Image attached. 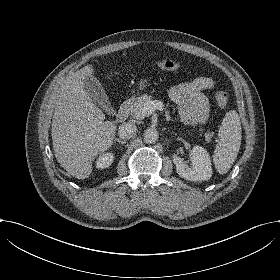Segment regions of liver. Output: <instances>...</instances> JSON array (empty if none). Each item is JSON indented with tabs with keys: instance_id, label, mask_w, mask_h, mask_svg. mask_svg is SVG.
<instances>
[{
	"instance_id": "liver-1",
	"label": "liver",
	"mask_w": 280,
	"mask_h": 280,
	"mask_svg": "<svg viewBox=\"0 0 280 280\" xmlns=\"http://www.w3.org/2000/svg\"><path fill=\"white\" fill-rule=\"evenodd\" d=\"M86 66L69 74L54 96L53 149L58 162L77 178L90 174L91 160L112 145L116 125L88 97L84 79Z\"/></svg>"
}]
</instances>
